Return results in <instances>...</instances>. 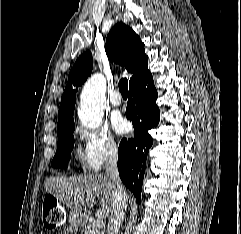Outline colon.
<instances>
[{"instance_id": "colon-1", "label": "colon", "mask_w": 241, "mask_h": 234, "mask_svg": "<svg viewBox=\"0 0 241 234\" xmlns=\"http://www.w3.org/2000/svg\"><path fill=\"white\" fill-rule=\"evenodd\" d=\"M43 224L48 229H56L65 222V211L54 197L48 196L43 201Z\"/></svg>"}]
</instances>
